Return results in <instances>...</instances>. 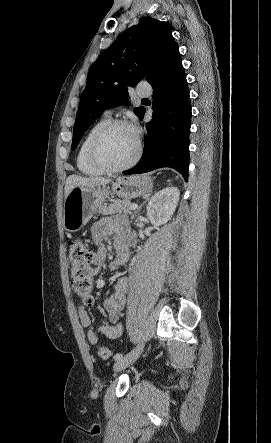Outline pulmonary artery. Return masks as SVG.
<instances>
[{
    "instance_id": "1",
    "label": "pulmonary artery",
    "mask_w": 271,
    "mask_h": 443,
    "mask_svg": "<svg viewBox=\"0 0 271 443\" xmlns=\"http://www.w3.org/2000/svg\"><path fill=\"white\" fill-rule=\"evenodd\" d=\"M138 94H139L140 96H146V95H149L150 92L139 91Z\"/></svg>"
}]
</instances>
